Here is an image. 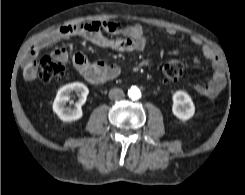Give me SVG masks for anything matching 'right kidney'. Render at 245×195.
<instances>
[{
	"instance_id": "right-kidney-1",
	"label": "right kidney",
	"mask_w": 245,
	"mask_h": 195,
	"mask_svg": "<svg viewBox=\"0 0 245 195\" xmlns=\"http://www.w3.org/2000/svg\"><path fill=\"white\" fill-rule=\"evenodd\" d=\"M75 91L78 95V101L75 108H65V104L69 101L71 93ZM88 88L80 82L66 84L61 87L56 95L53 103V111L64 122H72L79 120L83 116L82 105L86 102Z\"/></svg>"
}]
</instances>
